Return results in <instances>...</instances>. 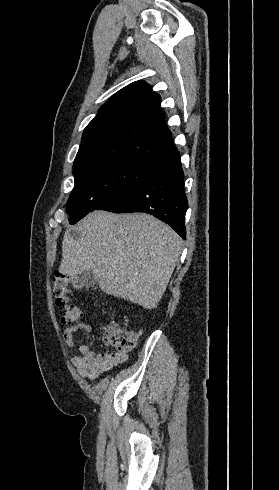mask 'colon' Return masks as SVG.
Returning <instances> with one entry per match:
<instances>
[{
	"mask_svg": "<svg viewBox=\"0 0 279 490\" xmlns=\"http://www.w3.org/2000/svg\"><path fill=\"white\" fill-rule=\"evenodd\" d=\"M81 286V282L65 273H58L51 281V291L54 299L62 306L61 322L71 325L80 321L84 315L82 309L78 308L70 299V285ZM138 332L125 331L116 326H110L103 330V337L108 338L111 348L117 350L118 354H125L136 346Z\"/></svg>",
	"mask_w": 279,
	"mask_h": 490,
	"instance_id": "colon-1",
	"label": "colon"
}]
</instances>
